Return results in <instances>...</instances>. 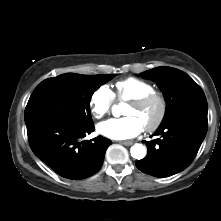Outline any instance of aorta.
<instances>
[{
  "mask_svg": "<svg viewBox=\"0 0 221 221\" xmlns=\"http://www.w3.org/2000/svg\"><path fill=\"white\" fill-rule=\"evenodd\" d=\"M117 109L116 106L113 107V112ZM131 156L137 160H141L146 156V148L142 144L136 143L130 149Z\"/></svg>",
  "mask_w": 221,
  "mask_h": 221,
  "instance_id": "obj_1",
  "label": "aorta"
}]
</instances>
